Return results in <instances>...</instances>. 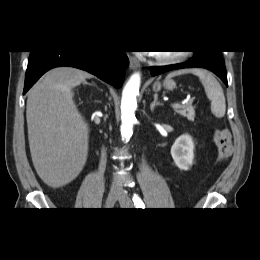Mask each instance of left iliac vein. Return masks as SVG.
I'll return each mask as SVG.
<instances>
[{"instance_id":"4c4485c4","label":"left iliac vein","mask_w":260,"mask_h":260,"mask_svg":"<svg viewBox=\"0 0 260 260\" xmlns=\"http://www.w3.org/2000/svg\"><path fill=\"white\" fill-rule=\"evenodd\" d=\"M119 203L124 208H132L133 202L129 198V196L126 193H122L120 197L118 198Z\"/></svg>"}]
</instances>
